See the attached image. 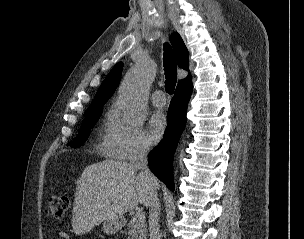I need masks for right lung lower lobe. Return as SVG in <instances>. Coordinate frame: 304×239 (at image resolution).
I'll use <instances>...</instances> for the list:
<instances>
[{
  "label": "right lung lower lobe",
  "instance_id": "right-lung-lower-lobe-1",
  "mask_svg": "<svg viewBox=\"0 0 304 239\" xmlns=\"http://www.w3.org/2000/svg\"><path fill=\"white\" fill-rule=\"evenodd\" d=\"M192 93L191 77L178 83L167 114L168 126L162 141L149 153V167L153 174L174 190L173 157L186 125L187 105Z\"/></svg>",
  "mask_w": 304,
  "mask_h": 239
}]
</instances>
